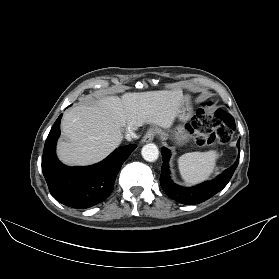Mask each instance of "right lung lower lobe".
<instances>
[{"label":"right lung lower lobe","instance_id":"right-lung-lower-lobe-1","mask_svg":"<svg viewBox=\"0 0 279 279\" xmlns=\"http://www.w3.org/2000/svg\"><path fill=\"white\" fill-rule=\"evenodd\" d=\"M61 117L62 114L54 123L45 142L42 172L55 199L66 206L85 209L102 202L110 195L121 165L136 145L120 147L106 159L92 166H66L55 155Z\"/></svg>","mask_w":279,"mask_h":279}]
</instances>
